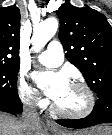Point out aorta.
I'll use <instances>...</instances> for the list:
<instances>
[{"instance_id":"aorta-1","label":"aorta","mask_w":112,"mask_h":135,"mask_svg":"<svg viewBox=\"0 0 112 135\" xmlns=\"http://www.w3.org/2000/svg\"><path fill=\"white\" fill-rule=\"evenodd\" d=\"M58 29V20L54 17L41 22L33 29V50L39 52L46 43L55 35Z\"/></svg>"}]
</instances>
